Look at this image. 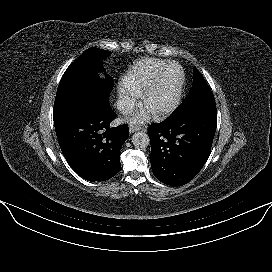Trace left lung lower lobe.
Segmentation results:
<instances>
[{
    "label": "left lung lower lobe",
    "mask_w": 272,
    "mask_h": 272,
    "mask_svg": "<svg viewBox=\"0 0 272 272\" xmlns=\"http://www.w3.org/2000/svg\"><path fill=\"white\" fill-rule=\"evenodd\" d=\"M217 127L216 105L174 112L148 130L151 167L170 186L191 181L206 163Z\"/></svg>",
    "instance_id": "1"
}]
</instances>
